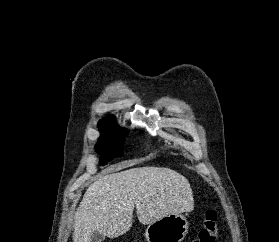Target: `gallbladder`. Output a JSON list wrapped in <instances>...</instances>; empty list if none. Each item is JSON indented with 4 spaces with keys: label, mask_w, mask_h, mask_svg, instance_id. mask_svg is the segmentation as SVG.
<instances>
[{
    "label": "gallbladder",
    "mask_w": 279,
    "mask_h": 242,
    "mask_svg": "<svg viewBox=\"0 0 279 242\" xmlns=\"http://www.w3.org/2000/svg\"><path fill=\"white\" fill-rule=\"evenodd\" d=\"M104 240V236L98 232L95 231L91 234V242H102Z\"/></svg>",
    "instance_id": "obj_1"
}]
</instances>
